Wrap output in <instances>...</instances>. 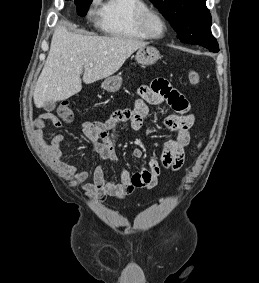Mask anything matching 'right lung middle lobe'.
Returning a JSON list of instances; mask_svg holds the SVG:
<instances>
[{
    "label": "right lung middle lobe",
    "mask_w": 259,
    "mask_h": 283,
    "mask_svg": "<svg viewBox=\"0 0 259 283\" xmlns=\"http://www.w3.org/2000/svg\"><path fill=\"white\" fill-rule=\"evenodd\" d=\"M92 0H75L77 6V13L79 16H85Z\"/></svg>",
    "instance_id": "obj_1"
}]
</instances>
